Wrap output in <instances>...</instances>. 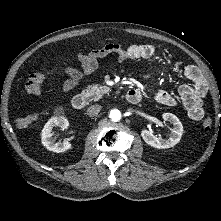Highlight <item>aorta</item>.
<instances>
[{
    "label": "aorta",
    "instance_id": "aorta-1",
    "mask_svg": "<svg viewBox=\"0 0 221 221\" xmlns=\"http://www.w3.org/2000/svg\"><path fill=\"white\" fill-rule=\"evenodd\" d=\"M109 117L112 121H119L121 119V112L117 109H113L110 111Z\"/></svg>",
    "mask_w": 221,
    "mask_h": 221
}]
</instances>
